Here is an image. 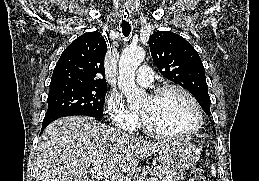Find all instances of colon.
Wrapping results in <instances>:
<instances>
[{
    "label": "colon",
    "instance_id": "colon-1",
    "mask_svg": "<svg viewBox=\"0 0 259 181\" xmlns=\"http://www.w3.org/2000/svg\"><path fill=\"white\" fill-rule=\"evenodd\" d=\"M190 181H206L204 172L199 168L195 169L191 174Z\"/></svg>",
    "mask_w": 259,
    "mask_h": 181
}]
</instances>
